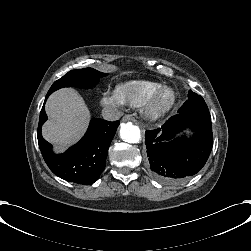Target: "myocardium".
<instances>
[{
	"mask_svg": "<svg viewBox=\"0 0 251 251\" xmlns=\"http://www.w3.org/2000/svg\"><path fill=\"white\" fill-rule=\"evenodd\" d=\"M166 86H170L174 90L175 99L171 104H169L167 106H159L157 104L158 94H159L160 90ZM180 100H181V93H180L179 89L177 88V86L169 80H161L154 87V89L150 93L146 103L144 104V106H143L144 114L148 118L158 119V118L168 114L172 110H174L179 105Z\"/></svg>",
	"mask_w": 251,
	"mask_h": 251,
	"instance_id": "myocardium-1",
	"label": "myocardium"
}]
</instances>
